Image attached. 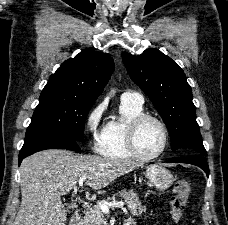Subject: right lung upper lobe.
Segmentation results:
<instances>
[{
	"label": "right lung upper lobe",
	"instance_id": "right-lung-upper-lobe-1",
	"mask_svg": "<svg viewBox=\"0 0 228 225\" xmlns=\"http://www.w3.org/2000/svg\"><path fill=\"white\" fill-rule=\"evenodd\" d=\"M114 70L110 54L84 49L66 60L49 78L44 89H55L94 100L102 93Z\"/></svg>",
	"mask_w": 228,
	"mask_h": 225
}]
</instances>
